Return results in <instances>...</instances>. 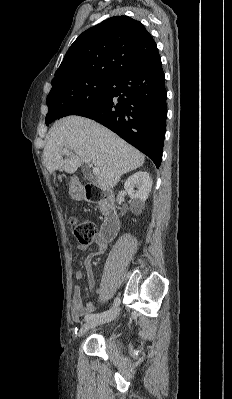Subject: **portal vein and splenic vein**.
I'll use <instances>...</instances> for the list:
<instances>
[{"label":"portal vein and splenic vein","instance_id":"1","mask_svg":"<svg viewBox=\"0 0 232 399\" xmlns=\"http://www.w3.org/2000/svg\"><path fill=\"white\" fill-rule=\"evenodd\" d=\"M64 154H68L67 152V148H64L63 150ZM79 158H82V156H79ZM84 164H88V166H92L90 160H84V158H82ZM93 174L94 176H98V174H100V170H98V168H93Z\"/></svg>","mask_w":232,"mask_h":399}]
</instances>
